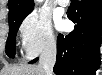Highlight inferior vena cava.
I'll use <instances>...</instances> for the list:
<instances>
[{
    "label": "inferior vena cava",
    "instance_id": "inferior-vena-cava-1",
    "mask_svg": "<svg viewBox=\"0 0 102 75\" xmlns=\"http://www.w3.org/2000/svg\"><path fill=\"white\" fill-rule=\"evenodd\" d=\"M57 46L55 39H50L44 48L40 60L39 66H41L46 75H53V67L56 62Z\"/></svg>",
    "mask_w": 102,
    "mask_h": 75
}]
</instances>
